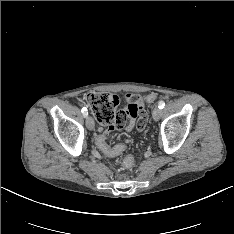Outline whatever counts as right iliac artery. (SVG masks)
<instances>
[{"label": "right iliac artery", "mask_w": 234, "mask_h": 234, "mask_svg": "<svg viewBox=\"0 0 234 234\" xmlns=\"http://www.w3.org/2000/svg\"><path fill=\"white\" fill-rule=\"evenodd\" d=\"M82 113H83L84 117H87L88 112H87V108L86 107L82 108Z\"/></svg>", "instance_id": "1"}]
</instances>
